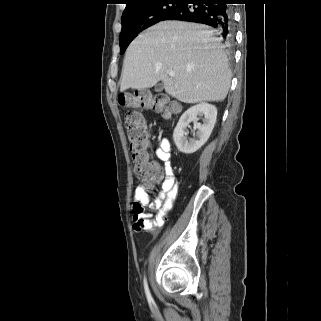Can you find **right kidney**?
<instances>
[{
	"mask_svg": "<svg viewBox=\"0 0 321 321\" xmlns=\"http://www.w3.org/2000/svg\"><path fill=\"white\" fill-rule=\"evenodd\" d=\"M197 116H204L203 124L197 122ZM216 118V107L205 102L192 106L185 111L173 132V140L178 150L185 154H192L200 149L210 137ZM191 122H194L197 132L196 134L193 132L194 138L188 140L187 127Z\"/></svg>",
	"mask_w": 321,
	"mask_h": 321,
	"instance_id": "ca27d5eb",
	"label": "right kidney"
}]
</instances>
